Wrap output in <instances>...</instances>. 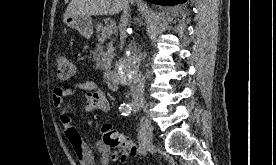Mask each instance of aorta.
Wrapping results in <instances>:
<instances>
[{
	"mask_svg": "<svg viewBox=\"0 0 276 165\" xmlns=\"http://www.w3.org/2000/svg\"><path fill=\"white\" fill-rule=\"evenodd\" d=\"M136 62H137V59L131 52L125 61V67L123 68V72L125 74H128L133 69V67H135Z\"/></svg>",
	"mask_w": 276,
	"mask_h": 165,
	"instance_id": "762f6f07",
	"label": "aorta"
}]
</instances>
